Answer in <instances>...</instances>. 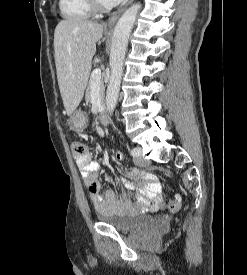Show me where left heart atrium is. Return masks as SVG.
<instances>
[{"label":"left heart atrium","instance_id":"obj_1","mask_svg":"<svg viewBox=\"0 0 247 275\" xmlns=\"http://www.w3.org/2000/svg\"><path fill=\"white\" fill-rule=\"evenodd\" d=\"M110 4L115 5L121 2L122 0H108Z\"/></svg>","mask_w":247,"mask_h":275}]
</instances>
